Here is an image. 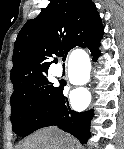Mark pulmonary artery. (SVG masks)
Here are the masks:
<instances>
[{
	"label": "pulmonary artery",
	"mask_w": 124,
	"mask_h": 149,
	"mask_svg": "<svg viewBox=\"0 0 124 149\" xmlns=\"http://www.w3.org/2000/svg\"><path fill=\"white\" fill-rule=\"evenodd\" d=\"M55 74H56L57 76H61V75H62V71H61L60 69H57V70L55 71Z\"/></svg>",
	"instance_id": "obj_1"
}]
</instances>
